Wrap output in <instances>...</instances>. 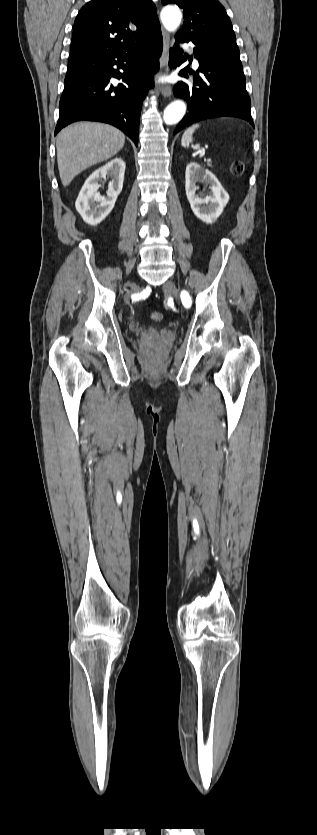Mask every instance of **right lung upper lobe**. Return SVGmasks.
Listing matches in <instances>:
<instances>
[{"mask_svg": "<svg viewBox=\"0 0 317 835\" xmlns=\"http://www.w3.org/2000/svg\"><path fill=\"white\" fill-rule=\"evenodd\" d=\"M156 29L160 24L151 0H91L75 19L70 54L116 53L149 38Z\"/></svg>", "mask_w": 317, "mask_h": 835, "instance_id": "obj_1", "label": "right lung upper lobe"}]
</instances>
